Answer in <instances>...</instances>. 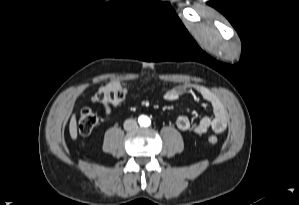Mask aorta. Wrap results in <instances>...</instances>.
I'll return each instance as SVG.
<instances>
[{
    "instance_id": "obj_1",
    "label": "aorta",
    "mask_w": 299,
    "mask_h": 205,
    "mask_svg": "<svg viewBox=\"0 0 299 205\" xmlns=\"http://www.w3.org/2000/svg\"><path fill=\"white\" fill-rule=\"evenodd\" d=\"M149 121H150L149 118L146 116H142L139 118V123H140V125H143V126L148 125Z\"/></svg>"
}]
</instances>
